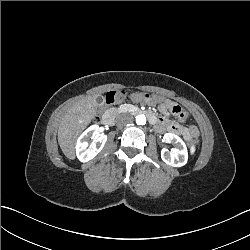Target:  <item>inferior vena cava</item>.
<instances>
[{"label": "inferior vena cava", "instance_id": "inferior-vena-cava-1", "mask_svg": "<svg viewBox=\"0 0 250 250\" xmlns=\"http://www.w3.org/2000/svg\"><path fill=\"white\" fill-rule=\"evenodd\" d=\"M115 122L118 126H126L133 122V116L130 113H122L116 118Z\"/></svg>", "mask_w": 250, "mask_h": 250}]
</instances>
